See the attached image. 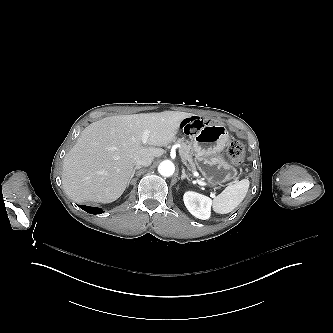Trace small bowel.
Instances as JSON below:
<instances>
[{"instance_id": "obj_1", "label": "small bowel", "mask_w": 333, "mask_h": 333, "mask_svg": "<svg viewBox=\"0 0 333 333\" xmlns=\"http://www.w3.org/2000/svg\"><path fill=\"white\" fill-rule=\"evenodd\" d=\"M203 122V119L200 117H189L187 119H185V121H183L181 128L183 130V132L187 133V134H194L196 132H198L199 128H200V123Z\"/></svg>"}]
</instances>
